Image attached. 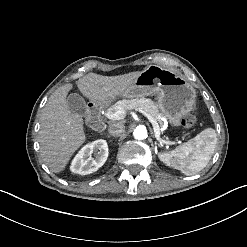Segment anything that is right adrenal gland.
Instances as JSON below:
<instances>
[{
	"label": "right adrenal gland",
	"instance_id": "1",
	"mask_svg": "<svg viewBox=\"0 0 247 247\" xmlns=\"http://www.w3.org/2000/svg\"><path fill=\"white\" fill-rule=\"evenodd\" d=\"M106 137L110 138L111 136L110 135H106Z\"/></svg>",
	"mask_w": 247,
	"mask_h": 247
}]
</instances>
